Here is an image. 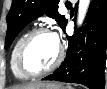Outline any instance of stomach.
<instances>
[{
	"label": "stomach",
	"mask_w": 107,
	"mask_h": 89,
	"mask_svg": "<svg viewBox=\"0 0 107 89\" xmlns=\"http://www.w3.org/2000/svg\"><path fill=\"white\" fill-rule=\"evenodd\" d=\"M34 89H67V88L60 84L51 83V84H46L45 86L35 87Z\"/></svg>",
	"instance_id": "1"
}]
</instances>
